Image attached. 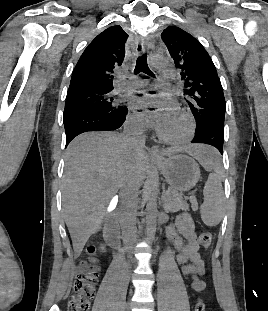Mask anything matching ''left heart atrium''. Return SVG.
<instances>
[{"label":"left heart atrium","instance_id":"1","mask_svg":"<svg viewBox=\"0 0 268 311\" xmlns=\"http://www.w3.org/2000/svg\"><path fill=\"white\" fill-rule=\"evenodd\" d=\"M147 97L160 98L159 101L150 102L147 101ZM130 105L133 109H143L151 105H158L160 108L152 111L151 118L157 125L168 121L175 113H177V105L174 99L166 93L161 94H145L143 98L133 97L130 100Z\"/></svg>","mask_w":268,"mask_h":311}]
</instances>
